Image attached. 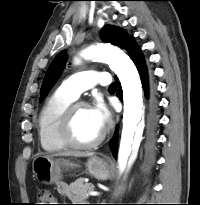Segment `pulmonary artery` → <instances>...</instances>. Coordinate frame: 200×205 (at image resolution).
Returning <instances> with one entry per match:
<instances>
[{
	"instance_id": "obj_1",
	"label": "pulmonary artery",
	"mask_w": 200,
	"mask_h": 205,
	"mask_svg": "<svg viewBox=\"0 0 200 205\" xmlns=\"http://www.w3.org/2000/svg\"><path fill=\"white\" fill-rule=\"evenodd\" d=\"M110 83L111 77L108 72L88 70L68 77L61 83L59 89L76 99L85 90L96 85L107 86Z\"/></svg>"
}]
</instances>
